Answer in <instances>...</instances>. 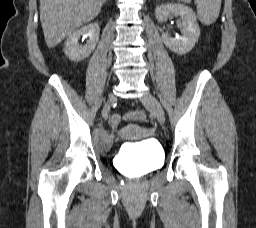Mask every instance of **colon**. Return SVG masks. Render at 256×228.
<instances>
[{"label": "colon", "instance_id": "1", "mask_svg": "<svg viewBox=\"0 0 256 228\" xmlns=\"http://www.w3.org/2000/svg\"><path fill=\"white\" fill-rule=\"evenodd\" d=\"M123 119L144 121L145 116H144L143 112L138 111V110L131 111L125 115L115 114L111 120L112 125L116 126V127L119 126L121 124V122L123 121Z\"/></svg>", "mask_w": 256, "mask_h": 228}]
</instances>
